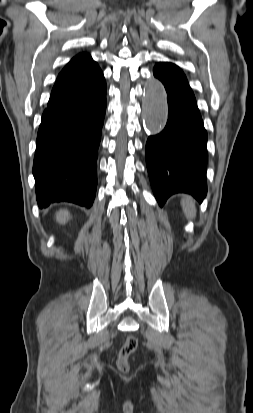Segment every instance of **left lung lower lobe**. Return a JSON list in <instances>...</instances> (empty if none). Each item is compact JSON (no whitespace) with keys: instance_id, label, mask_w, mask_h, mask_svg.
<instances>
[{"instance_id":"left-lung-lower-lobe-1","label":"left lung lower lobe","mask_w":253,"mask_h":413,"mask_svg":"<svg viewBox=\"0 0 253 413\" xmlns=\"http://www.w3.org/2000/svg\"><path fill=\"white\" fill-rule=\"evenodd\" d=\"M167 92L168 121L162 132L148 138L146 164L159 205L175 193L191 194L201 202L207 193V132L195 96L181 69L161 62L153 69Z\"/></svg>"}]
</instances>
